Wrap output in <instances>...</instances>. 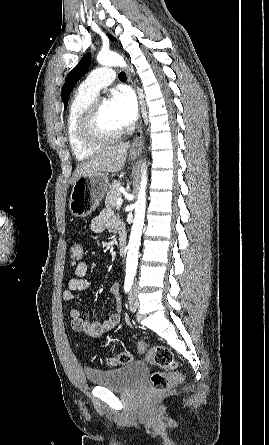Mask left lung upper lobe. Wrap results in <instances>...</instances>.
<instances>
[{
	"label": "left lung upper lobe",
	"instance_id": "obj_1",
	"mask_svg": "<svg viewBox=\"0 0 269 445\" xmlns=\"http://www.w3.org/2000/svg\"><path fill=\"white\" fill-rule=\"evenodd\" d=\"M111 40H116L114 37L109 35ZM91 63V54L87 53L83 56L81 61L70 71L67 75L63 86V102H64V110H66L68 105V99L70 97V93L74 88L75 84L85 75L87 72L89 65Z\"/></svg>",
	"mask_w": 269,
	"mask_h": 445
}]
</instances>
